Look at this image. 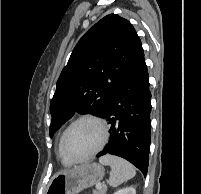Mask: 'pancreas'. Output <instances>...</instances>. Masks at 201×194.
Segmentation results:
<instances>
[{
    "label": "pancreas",
    "mask_w": 201,
    "mask_h": 194,
    "mask_svg": "<svg viewBox=\"0 0 201 194\" xmlns=\"http://www.w3.org/2000/svg\"><path fill=\"white\" fill-rule=\"evenodd\" d=\"M106 191H107V187L106 186H102L101 189L95 190L93 192V194H106Z\"/></svg>",
    "instance_id": "1"
}]
</instances>
